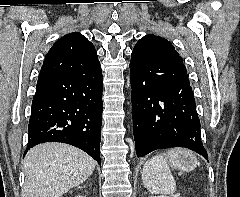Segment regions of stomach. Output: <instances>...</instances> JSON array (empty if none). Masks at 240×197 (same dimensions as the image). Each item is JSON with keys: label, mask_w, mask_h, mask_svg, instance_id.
Instances as JSON below:
<instances>
[{"label": "stomach", "mask_w": 240, "mask_h": 197, "mask_svg": "<svg viewBox=\"0 0 240 197\" xmlns=\"http://www.w3.org/2000/svg\"><path fill=\"white\" fill-rule=\"evenodd\" d=\"M197 162L191 158H181L177 162L173 163L172 165L183 171H191L196 167Z\"/></svg>", "instance_id": "stomach-1"}]
</instances>
